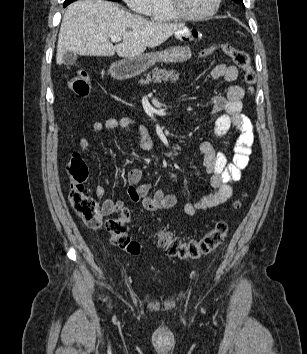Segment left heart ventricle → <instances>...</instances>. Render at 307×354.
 I'll list each match as a JSON object with an SVG mask.
<instances>
[{
    "instance_id": "b2bd125f",
    "label": "left heart ventricle",
    "mask_w": 307,
    "mask_h": 354,
    "mask_svg": "<svg viewBox=\"0 0 307 354\" xmlns=\"http://www.w3.org/2000/svg\"><path fill=\"white\" fill-rule=\"evenodd\" d=\"M215 0H182L183 9L192 15H200L209 11Z\"/></svg>"
}]
</instances>
